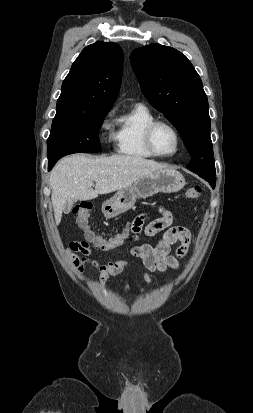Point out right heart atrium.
I'll use <instances>...</instances> for the list:
<instances>
[{"mask_svg": "<svg viewBox=\"0 0 253 413\" xmlns=\"http://www.w3.org/2000/svg\"><path fill=\"white\" fill-rule=\"evenodd\" d=\"M113 114H114L113 110L109 111L101 123V130L109 132V136L106 140L108 144H111L113 140L115 139V134L112 131L113 125L111 122V117L113 116Z\"/></svg>", "mask_w": 253, "mask_h": 413, "instance_id": "obj_1", "label": "right heart atrium"}]
</instances>
